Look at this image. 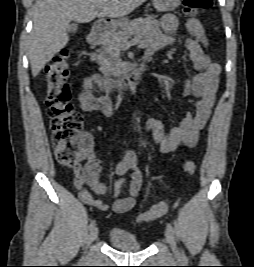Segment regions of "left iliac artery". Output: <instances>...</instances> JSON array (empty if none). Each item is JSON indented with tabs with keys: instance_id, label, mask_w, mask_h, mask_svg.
<instances>
[{
	"instance_id": "left-iliac-artery-1",
	"label": "left iliac artery",
	"mask_w": 254,
	"mask_h": 267,
	"mask_svg": "<svg viewBox=\"0 0 254 267\" xmlns=\"http://www.w3.org/2000/svg\"><path fill=\"white\" fill-rule=\"evenodd\" d=\"M166 226H167V229L170 230L172 233L175 232L174 228L172 227V225L170 223H167ZM182 257H183V259H186V256H185L183 251H182Z\"/></svg>"
}]
</instances>
